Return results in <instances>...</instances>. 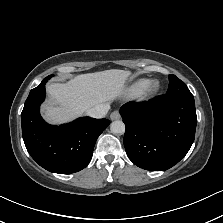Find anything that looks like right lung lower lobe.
Here are the masks:
<instances>
[{
	"label": "right lung lower lobe",
	"instance_id": "obj_1",
	"mask_svg": "<svg viewBox=\"0 0 223 223\" xmlns=\"http://www.w3.org/2000/svg\"><path fill=\"white\" fill-rule=\"evenodd\" d=\"M46 82L30 91L21 113L25 146L31 157L50 172H78L90 162L95 142L110 121L82 117L61 126L47 124L39 113Z\"/></svg>",
	"mask_w": 223,
	"mask_h": 223
}]
</instances>
